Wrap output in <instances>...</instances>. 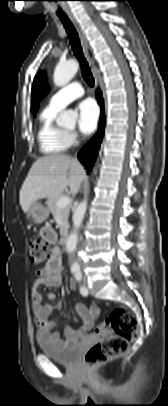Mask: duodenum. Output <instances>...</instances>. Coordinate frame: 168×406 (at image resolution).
<instances>
[{"instance_id": "1", "label": "duodenum", "mask_w": 168, "mask_h": 406, "mask_svg": "<svg viewBox=\"0 0 168 406\" xmlns=\"http://www.w3.org/2000/svg\"><path fill=\"white\" fill-rule=\"evenodd\" d=\"M67 243H68V232H67V231H64V232L62 233V235H61V238H60V244H61L63 247H66V246H67Z\"/></svg>"}]
</instances>
